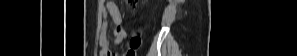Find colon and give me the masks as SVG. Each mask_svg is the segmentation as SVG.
Returning a JSON list of instances; mask_svg holds the SVG:
<instances>
[{"label": "colon", "instance_id": "colon-1", "mask_svg": "<svg viewBox=\"0 0 297 56\" xmlns=\"http://www.w3.org/2000/svg\"><path fill=\"white\" fill-rule=\"evenodd\" d=\"M127 4L129 5L130 10H134L137 4L135 0H128ZM141 47V38L138 32L134 33L128 43V47L125 53V56H136L137 51Z\"/></svg>", "mask_w": 297, "mask_h": 56}]
</instances>
